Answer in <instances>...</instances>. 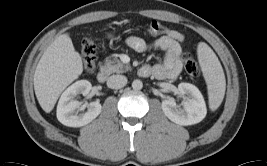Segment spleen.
Wrapping results in <instances>:
<instances>
[{
  "instance_id": "3e777b00",
  "label": "spleen",
  "mask_w": 267,
  "mask_h": 166,
  "mask_svg": "<svg viewBox=\"0 0 267 166\" xmlns=\"http://www.w3.org/2000/svg\"><path fill=\"white\" fill-rule=\"evenodd\" d=\"M198 58L207 83L209 107L215 111L225 95V75L218 58L205 43L198 45Z\"/></svg>"
}]
</instances>
